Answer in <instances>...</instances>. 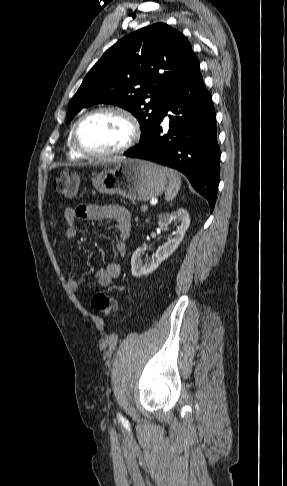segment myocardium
I'll list each match as a JSON object with an SVG mask.
<instances>
[{
    "label": "myocardium",
    "mask_w": 287,
    "mask_h": 486,
    "mask_svg": "<svg viewBox=\"0 0 287 486\" xmlns=\"http://www.w3.org/2000/svg\"><path fill=\"white\" fill-rule=\"evenodd\" d=\"M102 113H114L123 117L130 129V134L127 141L118 148L113 150L105 151V152H93L86 149L81 141H80V129L83 123L92 116L102 114ZM141 135L140 125L136 117L128 110L119 107V106H103L99 108H95L84 115H82L78 121L75 123L73 131H72V141L75 149L84 157L87 158H94V159H103L109 158L115 155L123 154L129 149H131L139 140Z\"/></svg>",
    "instance_id": "f54148a6"
}]
</instances>
